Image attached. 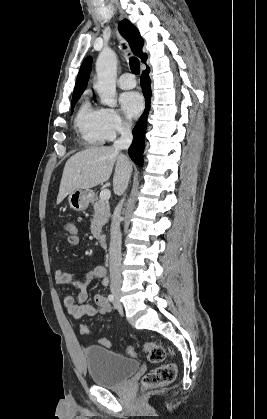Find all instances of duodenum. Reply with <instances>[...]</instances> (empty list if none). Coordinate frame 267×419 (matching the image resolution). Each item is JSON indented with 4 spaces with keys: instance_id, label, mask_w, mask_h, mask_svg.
I'll list each match as a JSON object with an SVG mask.
<instances>
[{
    "instance_id": "duodenum-1",
    "label": "duodenum",
    "mask_w": 267,
    "mask_h": 419,
    "mask_svg": "<svg viewBox=\"0 0 267 419\" xmlns=\"http://www.w3.org/2000/svg\"><path fill=\"white\" fill-rule=\"evenodd\" d=\"M98 241L101 246H105L107 244V236L104 233H100L98 235Z\"/></svg>"
}]
</instances>
